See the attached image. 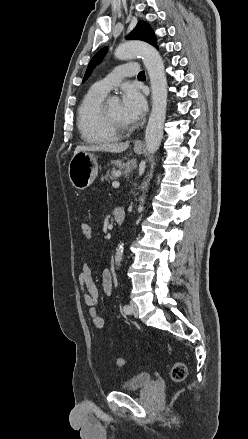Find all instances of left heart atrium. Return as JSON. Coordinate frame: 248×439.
Instances as JSON below:
<instances>
[{
    "label": "left heart atrium",
    "instance_id": "1",
    "mask_svg": "<svg viewBox=\"0 0 248 439\" xmlns=\"http://www.w3.org/2000/svg\"><path fill=\"white\" fill-rule=\"evenodd\" d=\"M121 107L129 122L138 121L146 111V100L143 94L133 86L127 87L122 95Z\"/></svg>",
    "mask_w": 248,
    "mask_h": 439
}]
</instances>
